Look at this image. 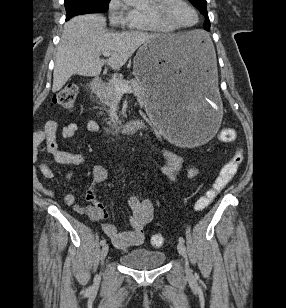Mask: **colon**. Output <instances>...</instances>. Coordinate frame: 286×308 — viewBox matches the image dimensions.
I'll list each match as a JSON object with an SVG mask.
<instances>
[{"label": "colon", "mask_w": 286, "mask_h": 308, "mask_svg": "<svg viewBox=\"0 0 286 308\" xmlns=\"http://www.w3.org/2000/svg\"><path fill=\"white\" fill-rule=\"evenodd\" d=\"M78 88L76 85H69L58 91L52 100V105L64 110H70L74 107ZM219 139L224 143H232L237 138L234 128L226 127L220 130ZM243 160L241 150H237L220 168L211 188L196 202L195 209L202 210L207 207L215 196L222 191L236 176L240 164ZM165 243L164 237L160 234L153 235L151 244L153 247H162Z\"/></svg>", "instance_id": "1"}]
</instances>
